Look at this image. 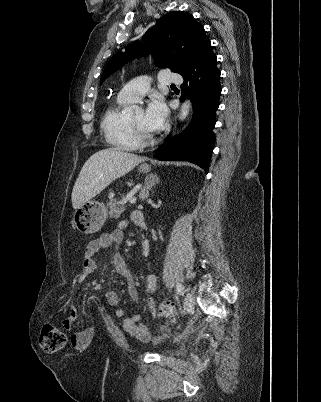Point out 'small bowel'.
Instances as JSON below:
<instances>
[{"label":"small bowel","mask_w":321,"mask_h":402,"mask_svg":"<svg viewBox=\"0 0 321 402\" xmlns=\"http://www.w3.org/2000/svg\"><path fill=\"white\" fill-rule=\"evenodd\" d=\"M136 224L137 223L135 221ZM124 239V224L118 229L111 232L104 233L88 242L84 251V265L81 274L78 277V283L82 282L85 277L94 273L99 268V261L96 255L103 249L115 245L118 246ZM112 266L115 272L123 276L127 281V292L134 302H138L139 297L136 287L130 277L129 271L126 267L125 260L121 253L115 249L112 253ZM146 288L149 292L154 293L157 290V277L154 273H148L146 275ZM106 301L110 306H117L119 304V295L109 290L106 292ZM147 310L151 317L157 316L156 301L154 298L149 297L145 301ZM116 316L119 318L125 317V310L118 308L116 310ZM79 320V313L76 309H71L69 315L63 321L64 327L71 331L75 323ZM142 316L140 314H134L129 317H125L123 321L124 330L131 336L137 337L143 342H147L151 339V334L147 326L142 323ZM91 336L90 328H83L77 332H74L71 337V343L73 347L78 351H83V348L88 344Z\"/></svg>","instance_id":"obj_1"}]
</instances>
